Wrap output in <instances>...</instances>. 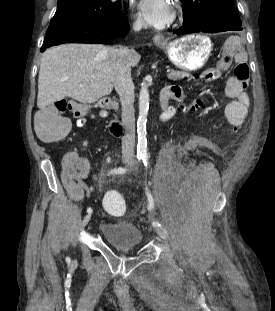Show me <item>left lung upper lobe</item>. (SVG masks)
<instances>
[{
	"mask_svg": "<svg viewBox=\"0 0 275 311\" xmlns=\"http://www.w3.org/2000/svg\"><path fill=\"white\" fill-rule=\"evenodd\" d=\"M184 22L209 15H226L231 21L242 23L233 0H181Z\"/></svg>",
	"mask_w": 275,
	"mask_h": 311,
	"instance_id": "5c2ea615",
	"label": "left lung upper lobe"
}]
</instances>
